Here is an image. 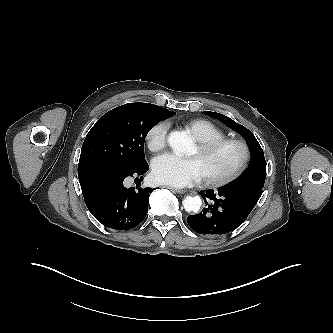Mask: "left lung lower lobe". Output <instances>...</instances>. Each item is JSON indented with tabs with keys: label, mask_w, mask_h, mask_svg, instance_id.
Returning a JSON list of instances; mask_svg holds the SVG:
<instances>
[{
	"label": "left lung lower lobe",
	"mask_w": 333,
	"mask_h": 333,
	"mask_svg": "<svg viewBox=\"0 0 333 333\" xmlns=\"http://www.w3.org/2000/svg\"><path fill=\"white\" fill-rule=\"evenodd\" d=\"M200 195L205 203L211 201V204L199 214L188 216L187 222L195 232L207 236L222 235L236 229L259 200L251 194L229 191L224 187L216 193L201 191Z\"/></svg>",
	"instance_id": "1"
}]
</instances>
